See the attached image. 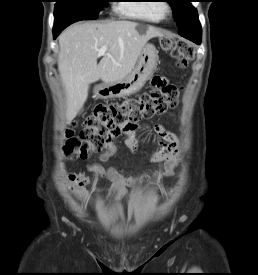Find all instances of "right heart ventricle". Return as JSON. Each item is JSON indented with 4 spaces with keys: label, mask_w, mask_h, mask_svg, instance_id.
Wrapping results in <instances>:
<instances>
[{
    "label": "right heart ventricle",
    "mask_w": 258,
    "mask_h": 275,
    "mask_svg": "<svg viewBox=\"0 0 258 275\" xmlns=\"http://www.w3.org/2000/svg\"><path fill=\"white\" fill-rule=\"evenodd\" d=\"M157 0L128 1L118 5V10L130 17L142 19L152 23H159L163 20L161 5Z\"/></svg>",
    "instance_id": "e07e8e85"
}]
</instances>
